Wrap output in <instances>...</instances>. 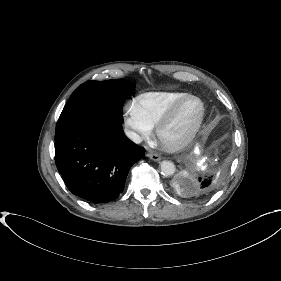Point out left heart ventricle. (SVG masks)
<instances>
[{
	"label": "left heart ventricle",
	"mask_w": 281,
	"mask_h": 281,
	"mask_svg": "<svg viewBox=\"0 0 281 281\" xmlns=\"http://www.w3.org/2000/svg\"><path fill=\"white\" fill-rule=\"evenodd\" d=\"M198 114V103L196 101L187 102L181 108L173 123L166 130V139L174 141L184 136L195 123Z\"/></svg>",
	"instance_id": "obj_1"
}]
</instances>
